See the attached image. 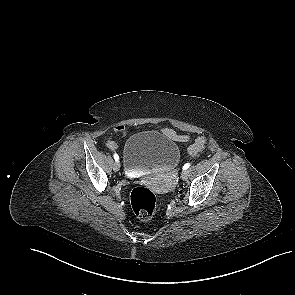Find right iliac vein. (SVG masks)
I'll use <instances>...</instances> for the list:
<instances>
[{"instance_id": "1", "label": "right iliac vein", "mask_w": 295, "mask_h": 295, "mask_svg": "<svg viewBox=\"0 0 295 295\" xmlns=\"http://www.w3.org/2000/svg\"><path fill=\"white\" fill-rule=\"evenodd\" d=\"M113 170L115 171V172H118L119 170H120V164H119V162H115L114 164H113Z\"/></svg>"}]
</instances>
